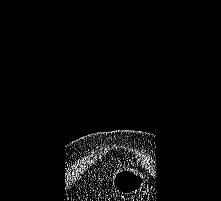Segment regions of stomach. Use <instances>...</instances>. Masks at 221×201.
I'll return each instance as SVG.
<instances>
[{"instance_id":"obj_1","label":"stomach","mask_w":221,"mask_h":201,"mask_svg":"<svg viewBox=\"0 0 221 201\" xmlns=\"http://www.w3.org/2000/svg\"><path fill=\"white\" fill-rule=\"evenodd\" d=\"M148 179L138 170L123 167L116 170L113 174L112 186L122 194H132L141 190Z\"/></svg>"}]
</instances>
